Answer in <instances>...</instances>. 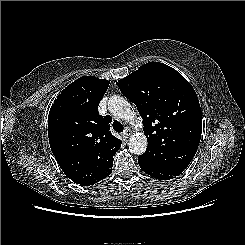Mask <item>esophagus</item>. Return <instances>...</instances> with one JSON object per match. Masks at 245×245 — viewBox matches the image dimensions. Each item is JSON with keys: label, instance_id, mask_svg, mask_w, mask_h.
Listing matches in <instances>:
<instances>
[{"label": "esophagus", "instance_id": "esophagus-1", "mask_svg": "<svg viewBox=\"0 0 245 245\" xmlns=\"http://www.w3.org/2000/svg\"><path fill=\"white\" fill-rule=\"evenodd\" d=\"M131 134H132V131L128 127H126L122 133V135L125 139L129 138L131 136Z\"/></svg>", "mask_w": 245, "mask_h": 245}]
</instances>
